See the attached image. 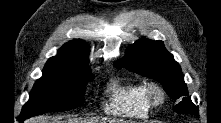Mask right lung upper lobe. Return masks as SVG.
I'll return each instance as SVG.
<instances>
[{
	"mask_svg": "<svg viewBox=\"0 0 221 123\" xmlns=\"http://www.w3.org/2000/svg\"><path fill=\"white\" fill-rule=\"evenodd\" d=\"M89 47L82 40H73L64 44L58 54L48 59L46 64L72 65L80 69H88Z\"/></svg>",
	"mask_w": 221,
	"mask_h": 123,
	"instance_id": "1",
	"label": "right lung upper lobe"
}]
</instances>
